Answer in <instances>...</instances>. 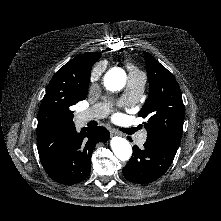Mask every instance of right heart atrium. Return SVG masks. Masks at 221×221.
<instances>
[{"mask_svg":"<svg viewBox=\"0 0 221 221\" xmlns=\"http://www.w3.org/2000/svg\"><path fill=\"white\" fill-rule=\"evenodd\" d=\"M103 71L104 67L102 64H97L96 66H94L93 69L91 70L89 77L90 83L91 84L96 83L101 78Z\"/></svg>","mask_w":221,"mask_h":221,"instance_id":"obj_1","label":"right heart atrium"}]
</instances>
